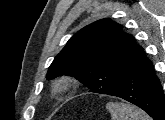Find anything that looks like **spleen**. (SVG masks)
<instances>
[{"label": "spleen", "mask_w": 165, "mask_h": 120, "mask_svg": "<svg viewBox=\"0 0 165 120\" xmlns=\"http://www.w3.org/2000/svg\"><path fill=\"white\" fill-rule=\"evenodd\" d=\"M106 109L112 120H152L143 110L129 103L109 102Z\"/></svg>", "instance_id": "1"}]
</instances>
